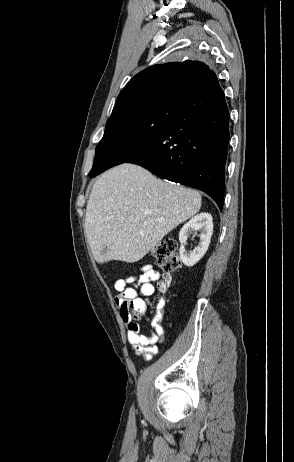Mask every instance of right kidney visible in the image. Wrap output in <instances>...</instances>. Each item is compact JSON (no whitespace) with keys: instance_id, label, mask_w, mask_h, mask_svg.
Listing matches in <instances>:
<instances>
[{"instance_id":"ca27d5eb","label":"right kidney","mask_w":294,"mask_h":462,"mask_svg":"<svg viewBox=\"0 0 294 462\" xmlns=\"http://www.w3.org/2000/svg\"><path fill=\"white\" fill-rule=\"evenodd\" d=\"M199 232L200 241L198 246L190 253L184 247L190 234ZM213 233L212 216L209 213H200L187 222L179 233L180 259L188 267L194 266L207 252Z\"/></svg>"}]
</instances>
